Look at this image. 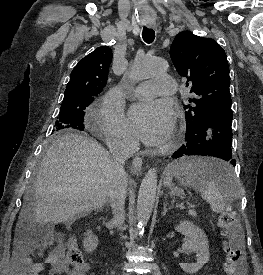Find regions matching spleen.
Instances as JSON below:
<instances>
[{
    "mask_svg": "<svg viewBox=\"0 0 263 275\" xmlns=\"http://www.w3.org/2000/svg\"><path fill=\"white\" fill-rule=\"evenodd\" d=\"M169 168L178 182L199 191L215 213L223 212L227 202L238 198L240 182L228 162L187 157L173 162Z\"/></svg>",
    "mask_w": 263,
    "mask_h": 275,
    "instance_id": "obj_1",
    "label": "spleen"
}]
</instances>
